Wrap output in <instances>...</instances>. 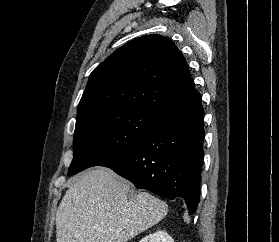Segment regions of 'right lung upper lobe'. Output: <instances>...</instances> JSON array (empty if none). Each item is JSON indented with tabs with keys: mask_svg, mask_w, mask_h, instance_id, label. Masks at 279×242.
I'll list each match as a JSON object with an SVG mask.
<instances>
[{
	"mask_svg": "<svg viewBox=\"0 0 279 242\" xmlns=\"http://www.w3.org/2000/svg\"><path fill=\"white\" fill-rule=\"evenodd\" d=\"M198 97L180 50L152 34L128 42L94 69L77 117L119 109L159 113Z\"/></svg>",
	"mask_w": 279,
	"mask_h": 242,
	"instance_id": "1",
	"label": "right lung upper lobe"
}]
</instances>
